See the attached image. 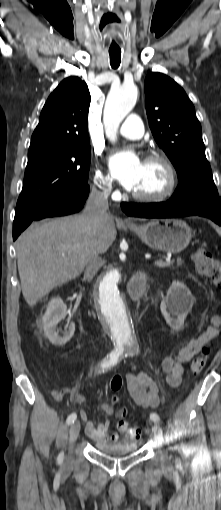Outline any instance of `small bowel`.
I'll return each mask as SVG.
<instances>
[{"label":"small bowel","mask_w":221,"mask_h":510,"mask_svg":"<svg viewBox=\"0 0 221 510\" xmlns=\"http://www.w3.org/2000/svg\"><path fill=\"white\" fill-rule=\"evenodd\" d=\"M219 317L213 316L211 324L207 329L196 339L189 341L183 346L175 356H167L162 361V370L166 375L167 384L176 388L180 385L183 374L184 365L192 360L201 349L216 337L219 327ZM126 390L133 401L144 408H155L160 401V388L157 382L145 372L130 373L125 378ZM74 400L77 403H84L85 397L82 395H75ZM100 410L107 414L114 413L112 406L102 400L100 402ZM80 417L85 422V431L87 435L95 442H114L118 439L117 434L109 432L110 421H104L95 425L90 419L86 410L80 411ZM122 421L118 423V430L120 433L130 436L126 426L127 422ZM131 437V436H130Z\"/></svg>","instance_id":"small-bowel-1"}]
</instances>
